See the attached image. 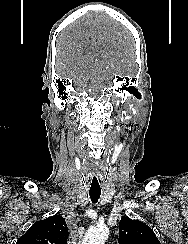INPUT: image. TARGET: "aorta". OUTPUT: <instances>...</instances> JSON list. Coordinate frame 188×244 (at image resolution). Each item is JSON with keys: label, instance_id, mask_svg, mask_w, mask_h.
Here are the masks:
<instances>
[{"label": "aorta", "instance_id": "1", "mask_svg": "<svg viewBox=\"0 0 188 244\" xmlns=\"http://www.w3.org/2000/svg\"><path fill=\"white\" fill-rule=\"evenodd\" d=\"M109 228L105 225L93 226L86 232L82 244H104L108 238Z\"/></svg>", "mask_w": 188, "mask_h": 244}]
</instances>
